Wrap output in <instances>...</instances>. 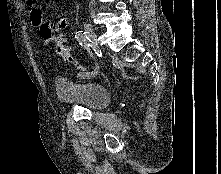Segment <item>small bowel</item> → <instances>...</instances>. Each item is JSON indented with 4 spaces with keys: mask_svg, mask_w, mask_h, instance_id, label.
Returning <instances> with one entry per match:
<instances>
[{
    "mask_svg": "<svg viewBox=\"0 0 221 174\" xmlns=\"http://www.w3.org/2000/svg\"><path fill=\"white\" fill-rule=\"evenodd\" d=\"M29 5V16L32 25L38 30L42 26L43 22V14L40 5V0H26ZM68 26V19L65 16H62L55 25L59 31L64 30Z\"/></svg>",
    "mask_w": 221,
    "mask_h": 174,
    "instance_id": "1",
    "label": "small bowel"
}]
</instances>
